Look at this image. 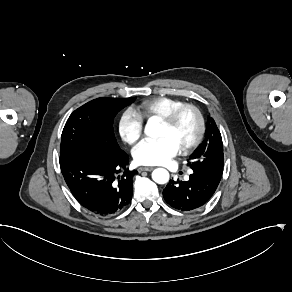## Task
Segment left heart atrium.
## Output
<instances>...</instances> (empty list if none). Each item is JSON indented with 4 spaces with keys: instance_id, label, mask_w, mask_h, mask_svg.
Segmentation results:
<instances>
[{
    "instance_id": "39dd6f15",
    "label": "left heart atrium",
    "mask_w": 292,
    "mask_h": 292,
    "mask_svg": "<svg viewBox=\"0 0 292 292\" xmlns=\"http://www.w3.org/2000/svg\"><path fill=\"white\" fill-rule=\"evenodd\" d=\"M180 145L170 136L145 139L134 150V158L141 165H161L178 155Z\"/></svg>"
}]
</instances>
